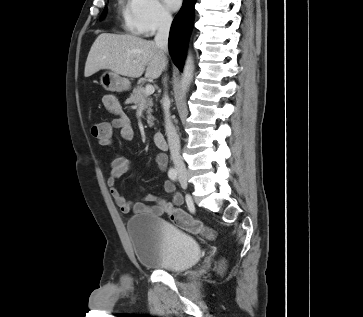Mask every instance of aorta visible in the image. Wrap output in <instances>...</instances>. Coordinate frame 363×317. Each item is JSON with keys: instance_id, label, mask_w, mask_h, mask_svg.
I'll return each mask as SVG.
<instances>
[{"instance_id": "1", "label": "aorta", "mask_w": 363, "mask_h": 317, "mask_svg": "<svg viewBox=\"0 0 363 317\" xmlns=\"http://www.w3.org/2000/svg\"><path fill=\"white\" fill-rule=\"evenodd\" d=\"M194 74V62L191 55H188L183 67L182 77H181V85L183 91H186L193 79Z\"/></svg>"}]
</instances>
